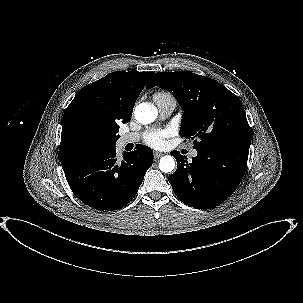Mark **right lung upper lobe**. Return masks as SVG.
Segmentation results:
<instances>
[{
    "label": "right lung upper lobe",
    "instance_id": "cb5924a9",
    "mask_svg": "<svg viewBox=\"0 0 303 303\" xmlns=\"http://www.w3.org/2000/svg\"><path fill=\"white\" fill-rule=\"evenodd\" d=\"M154 72H113L86 85L65 110L59 155L66 167L95 152L81 139L84 127L115 134L131 119L137 97Z\"/></svg>",
    "mask_w": 303,
    "mask_h": 303
}]
</instances>
